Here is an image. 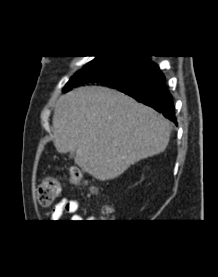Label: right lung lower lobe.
I'll use <instances>...</instances> for the list:
<instances>
[{
  "label": "right lung lower lobe",
  "instance_id": "1",
  "mask_svg": "<svg viewBox=\"0 0 218 277\" xmlns=\"http://www.w3.org/2000/svg\"><path fill=\"white\" fill-rule=\"evenodd\" d=\"M85 83H101V80L98 74L89 73L78 82V85ZM115 89L154 108L177 124L172 96L166 88L165 77L158 66L153 65L148 72L134 82Z\"/></svg>",
  "mask_w": 218,
  "mask_h": 277
}]
</instances>
